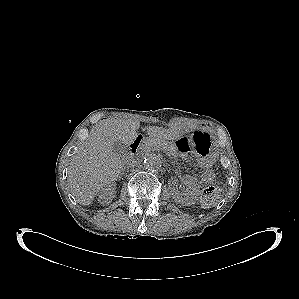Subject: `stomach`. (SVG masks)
<instances>
[{
    "instance_id": "1",
    "label": "stomach",
    "mask_w": 299,
    "mask_h": 299,
    "mask_svg": "<svg viewBox=\"0 0 299 299\" xmlns=\"http://www.w3.org/2000/svg\"><path fill=\"white\" fill-rule=\"evenodd\" d=\"M174 148L183 158L191 155L192 161L201 168L213 167L220 158V148L209 132L197 130L193 135H178L174 139Z\"/></svg>"
}]
</instances>
